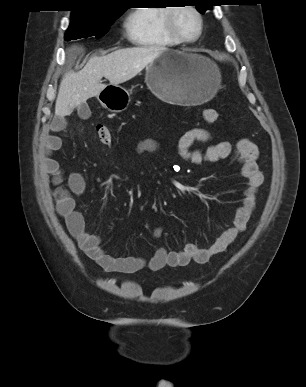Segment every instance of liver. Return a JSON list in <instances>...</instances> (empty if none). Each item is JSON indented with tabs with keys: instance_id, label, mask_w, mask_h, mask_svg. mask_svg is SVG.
<instances>
[{
	"instance_id": "liver-1",
	"label": "liver",
	"mask_w": 306,
	"mask_h": 387,
	"mask_svg": "<svg viewBox=\"0 0 306 387\" xmlns=\"http://www.w3.org/2000/svg\"><path fill=\"white\" fill-rule=\"evenodd\" d=\"M164 47L148 46L116 50L106 56H93L79 72L70 71L61 80L55 105V115H70L73 109L85 103L89 98L98 96L107 85L101 82L102 77L110 85L124 83L153 62Z\"/></svg>"
}]
</instances>
